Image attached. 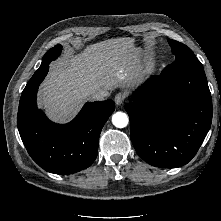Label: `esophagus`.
Returning <instances> with one entry per match:
<instances>
[{"mask_svg": "<svg viewBox=\"0 0 221 221\" xmlns=\"http://www.w3.org/2000/svg\"><path fill=\"white\" fill-rule=\"evenodd\" d=\"M125 94L124 93H118L116 96H115V99H114V101H115V103H116V105H121L123 102H124V100H125Z\"/></svg>", "mask_w": 221, "mask_h": 221, "instance_id": "esophagus-1", "label": "esophagus"}]
</instances>
